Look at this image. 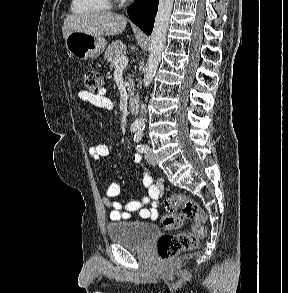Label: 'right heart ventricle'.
<instances>
[{
    "mask_svg": "<svg viewBox=\"0 0 288 293\" xmlns=\"http://www.w3.org/2000/svg\"><path fill=\"white\" fill-rule=\"evenodd\" d=\"M111 8V0H72L71 10L76 14L100 12Z\"/></svg>",
    "mask_w": 288,
    "mask_h": 293,
    "instance_id": "obj_1",
    "label": "right heart ventricle"
}]
</instances>
